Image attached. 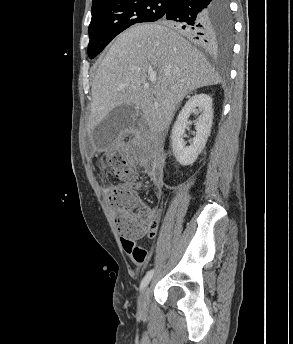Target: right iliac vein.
Listing matches in <instances>:
<instances>
[{"label":"right iliac vein","mask_w":293,"mask_h":344,"mask_svg":"<svg viewBox=\"0 0 293 344\" xmlns=\"http://www.w3.org/2000/svg\"><path fill=\"white\" fill-rule=\"evenodd\" d=\"M150 289L147 287L141 293L138 300V314L140 317L145 318L148 313V299H149Z\"/></svg>","instance_id":"63e3f726"}]
</instances>
